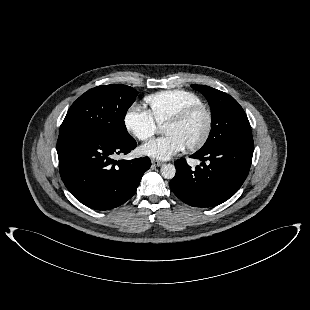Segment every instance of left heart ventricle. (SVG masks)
I'll use <instances>...</instances> for the list:
<instances>
[{"mask_svg": "<svg viewBox=\"0 0 310 310\" xmlns=\"http://www.w3.org/2000/svg\"><path fill=\"white\" fill-rule=\"evenodd\" d=\"M206 127V117L197 113L181 124H165L163 131L166 135L178 136L185 146L195 143L200 139Z\"/></svg>", "mask_w": 310, "mask_h": 310, "instance_id": "1", "label": "left heart ventricle"}]
</instances>
